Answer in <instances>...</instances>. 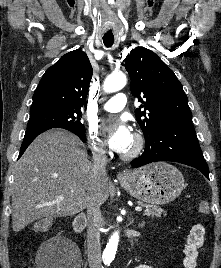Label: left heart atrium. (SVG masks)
<instances>
[{
	"mask_svg": "<svg viewBox=\"0 0 221 268\" xmlns=\"http://www.w3.org/2000/svg\"><path fill=\"white\" fill-rule=\"evenodd\" d=\"M132 139V132L125 120H120L108 128V144L116 152H125L130 146Z\"/></svg>",
	"mask_w": 221,
	"mask_h": 268,
	"instance_id": "1",
	"label": "left heart atrium"
}]
</instances>
